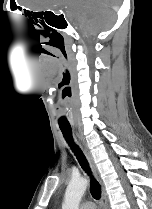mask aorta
Masks as SVG:
<instances>
[{"mask_svg": "<svg viewBox=\"0 0 152 209\" xmlns=\"http://www.w3.org/2000/svg\"><path fill=\"white\" fill-rule=\"evenodd\" d=\"M88 186L85 178L72 179L67 186L62 209H79V205Z\"/></svg>", "mask_w": 152, "mask_h": 209, "instance_id": "762f6f07", "label": "aorta"}]
</instances>
